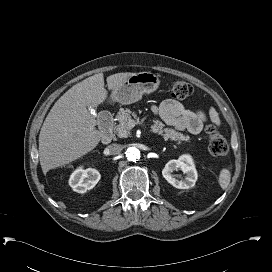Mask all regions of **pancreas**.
<instances>
[{
	"mask_svg": "<svg viewBox=\"0 0 272 272\" xmlns=\"http://www.w3.org/2000/svg\"><path fill=\"white\" fill-rule=\"evenodd\" d=\"M136 118V114L132 112L130 109L121 108L116 115V119L119 121V124L114 127V132L121 138L127 137L130 134V127L128 126L129 120L131 117ZM164 124L158 120H153V124L151 125V132L160 135L164 138V140L176 141L177 144H181L184 142H189L190 137L184 135L181 132L176 131L172 128H164Z\"/></svg>",
	"mask_w": 272,
	"mask_h": 272,
	"instance_id": "1",
	"label": "pancreas"
}]
</instances>
